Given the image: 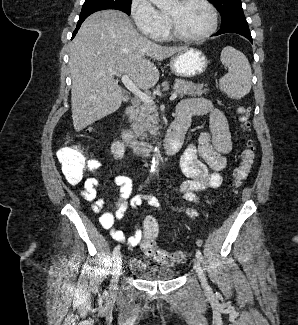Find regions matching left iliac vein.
<instances>
[{"mask_svg":"<svg viewBox=\"0 0 298 325\" xmlns=\"http://www.w3.org/2000/svg\"><path fill=\"white\" fill-rule=\"evenodd\" d=\"M193 268L194 270L196 271L198 277H199V280L201 282V285L202 287L205 289V290H209L210 287L207 283V280H206V277H205V274H204V271L201 267V264H200V261L198 258H194L193 259Z\"/></svg>","mask_w":298,"mask_h":325,"instance_id":"obj_1","label":"left iliac vein"}]
</instances>
